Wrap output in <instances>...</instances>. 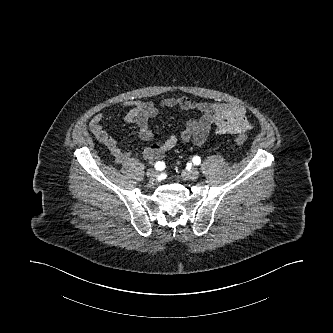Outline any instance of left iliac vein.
I'll return each mask as SVG.
<instances>
[{
  "instance_id": "left-iliac-vein-1",
  "label": "left iliac vein",
  "mask_w": 333,
  "mask_h": 333,
  "mask_svg": "<svg viewBox=\"0 0 333 333\" xmlns=\"http://www.w3.org/2000/svg\"><path fill=\"white\" fill-rule=\"evenodd\" d=\"M184 177L187 180H196L199 177V171L196 168H192L189 172L184 173Z\"/></svg>"
}]
</instances>
